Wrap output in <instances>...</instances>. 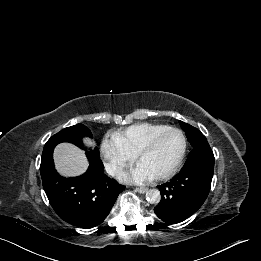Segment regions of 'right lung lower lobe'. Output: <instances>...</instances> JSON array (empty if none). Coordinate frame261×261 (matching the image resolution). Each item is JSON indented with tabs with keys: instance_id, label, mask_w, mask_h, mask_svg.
I'll return each mask as SVG.
<instances>
[{
	"instance_id": "1",
	"label": "right lung lower lobe",
	"mask_w": 261,
	"mask_h": 261,
	"mask_svg": "<svg viewBox=\"0 0 261 261\" xmlns=\"http://www.w3.org/2000/svg\"><path fill=\"white\" fill-rule=\"evenodd\" d=\"M75 145L83 147L81 139ZM87 155V172L75 178H64L56 172L52 154L42 156L40 165L43 188L51 206L64 221L82 228L102 223L125 188L104 174L99 153L87 151Z\"/></svg>"
}]
</instances>
